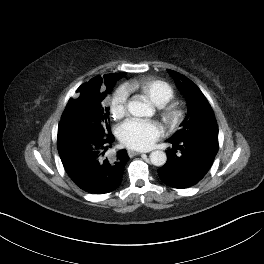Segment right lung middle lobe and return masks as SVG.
Instances as JSON below:
<instances>
[{"label": "right lung middle lobe", "instance_id": "obj_1", "mask_svg": "<svg viewBox=\"0 0 264 264\" xmlns=\"http://www.w3.org/2000/svg\"><path fill=\"white\" fill-rule=\"evenodd\" d=\"M115 82L68 103L58 126L57 139H66L78 133H111L109 107L103 108L101 101L111 92Z\"/></svg>", "mask_w": 264, "mask_h": 264}]
</instances>
